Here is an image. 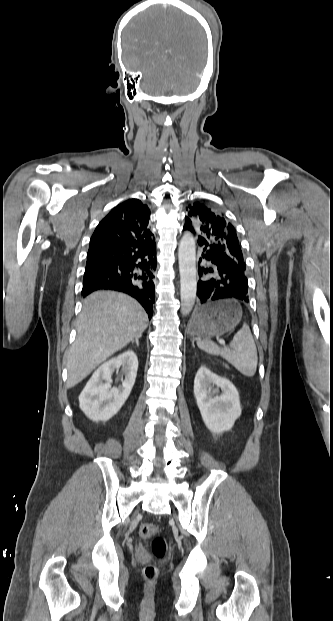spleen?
Here are the masks:
<instances>
[{
  "label": "spleen",
  "instance_id": "obj_1",
  "mask_svg": "<svg viewBox=\"0 0 333 621\" xmlns=\"http://www.w3.org/2000/svg\"><path fill=\"white\" fill-rule=\"evenodd\" d=\"M197 346L208 354L223 357L244 376L252 377L256 373L257 348L250 328L246 324L235 334L227 348L221 349L208 339H197Z\"/></svg>",
  "mask_w": 333,
  "mask_h": 621
}]
</instances>
